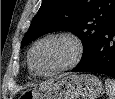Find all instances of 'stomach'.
Segmentation results:
<instances>
[{
	"instance_id": "0dacf381",
	"label": "stomach",
	"mask_w": 115,
	"mask_h": 99,
	"mask_svg": "<svg viewBox=\"0 0 115 99\" xmlns=\"http://www.w3.org/2000/svg\"><path fill=\"white\" fill-rule=\"evenodd\" d=\"M103 91L102 82L94 75H70L57 82L27 90L24 99H97Z\"/></svg>"
}]
</instances>
